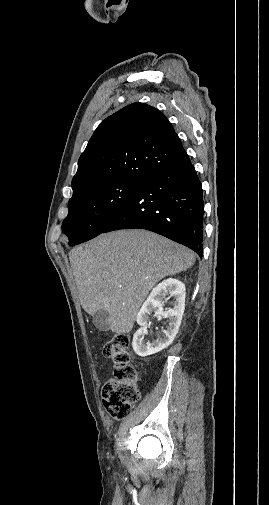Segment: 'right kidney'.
<instances>
[{"mask_svg": "<svg viewBox=\"0 0 269 505\" xmlns=\"http://www.w3.org/2000/svg\"><path fill=\"white\" fill-rule=\"evenodd\" d=\"M185 294V285L174 278L162 281L152 290L137 314V323L140 328L134 334L132 341L133 349L137 355L146 357L158 353L172 343L178 333L184 313ZM166 296L173 298V308L164 311L163 301ZM152 312L158 317L167 318L169 324L166 329L157 333L155 340L145 344L143 336L146 334L147 324Z\"/></svg>", "mask_w": 269, "mask_h": 505, "instance_id": "obj_1", "label": "right kidney"}]
</instances>
